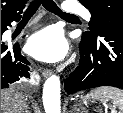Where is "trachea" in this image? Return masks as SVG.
I'll return each instance as SVG.
<instances>
[{
    "mask_svg": "<svg viewBox=\"0 0 123 113\" xmlns=\"http://www.w3.org/2000/svg\"><path fill=\"white\" fill-rule=\"evenodd\" d=\"M41 4L49 12L59 15L61 17H64V18L77 17L75 15L62 12L53 0H35L30 3L26 11L24 12L23 18L32 17L36 13L37 9L39 8Z\"/></svg>",
    "mask_w": 123,
    "mask_h": 113,
    "instance_id": "obj_1",
    "label": "trachea"
}]
</instances>
